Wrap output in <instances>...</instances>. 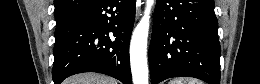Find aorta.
I'll return each instance as SVG.
<instances>
[{
    "label": "aorta",
    "mask_w": 260,
    "mask_h": 84,
    "mask_svg": "<svg viewBox=\"0 0 260 84\" xmlns=\"http://www.w3.org/2000/svg\"><path fill=\"white\" fill-rule=\"evenodd\" d=\"M155 0H146L144 15L134 29L130 43L133 84H148L147 40L151 8Z\"/></svg>",
    "instance_id": "1"
}]
</instances>
